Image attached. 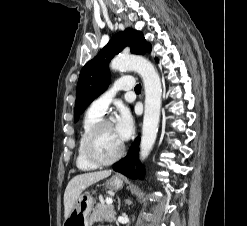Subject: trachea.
Instances as JSON below:
<instances>
[{"label": "trachea", "mask_w": 247, "mask_h": 226, "mask_svg": "<svg viewBox=\"0 0 247 226\" xmlns=\"http://www.w3.org/2000/svg\"><path fill=\"white\" fill-rule=\"evenodd\" d=\"M135 91H141V85L140 84H137L135 86Z\"/></svg>", "instance_id": "1"}]
</instances>
